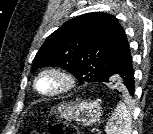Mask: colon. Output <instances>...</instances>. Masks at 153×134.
Segmentation results:
<instances>
[{
  "label": "colon",
  "mask_w": 153,
  "mask_h": 134,
  "mask_svg": "<svg viewBox=\"0 0 153 134\" xmlns=\"http://www.w3.org/2000/svg\"><path fill=\"white\" fill-rule=\"evenodd\" d=\"M51 134H79L77 128L69 124L52 122L50 124ZM25 134H39L37 132H27Z\"/></svg>",
  "instance_id": "colon-1"
}]
</instances>
